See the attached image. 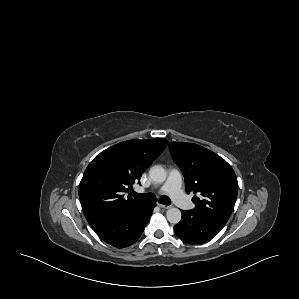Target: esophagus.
<instances>
[{"instance_id":"34e87169","label":"esophagus","mask_w":299,"mask_h":299,"mask_svg":"<svg viewBox=\"0 0 299 299\" xmlns=\"http://www.w3.org/2000/svg\"><path fill=\"white\" fill-rule=\"evenodd\" d=\"M158 206L160 207V208H162V209H169V208H171V206H169V205H163V204H158Z\"/></svg>"}]
</instances>
